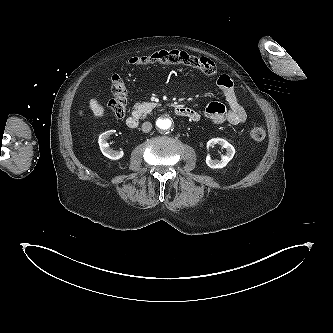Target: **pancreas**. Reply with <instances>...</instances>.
<instances>
[{"label":"pancreas","instance_id":"1","mask_svg":"<svg viewBox=\"0 0 333 333\" xmlns=\"http://www.w3.org/2000/svg\"><path fill=\"white\" fill-rule=\"evenodd\" d=\"M156 106H157L156 103H148V102L139 103L138 102L135 104L134 107H135V110L138 112L139 116L144 118Z\"/></svg>","mask_w":333,"mask_h":333}]
</instances>
